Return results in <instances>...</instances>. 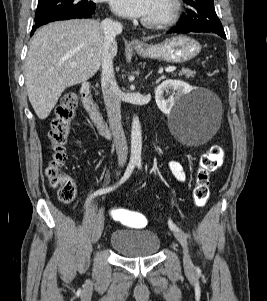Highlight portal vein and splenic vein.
Instances as JSON below:
<instances>
[{
    "mask_svg": "<svg viewBox=\"0 0 267 301\" xmlns=\"http://www.w3.org/2000/svg\"><path fill=\"white\" fill-rule=\"evenodd\" d=\"M76 65H77L76 62H72V63H71V66H72V67H74V66H76ZM175 70H176V67H174V66L165 68V72H166V73H171V72H173V71H175Z\"/></svg>",
    "mask_w": 267,
    "mask_h": 301,
    "instance_id": "1",
    "label": "portal vein and splenic vein"
}]
</instances>
